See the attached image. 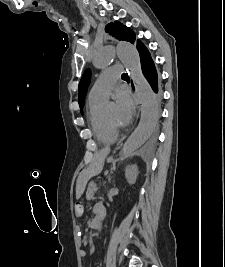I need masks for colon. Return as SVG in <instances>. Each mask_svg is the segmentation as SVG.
Segmentation results:
<instances>
[{"label":"colon","mask_w":225,"mask_h":267,"mask_svg":"<svg viewBox=\"0 0 225 267\" xmlns=\"http://www.w3.org/2000/svg\"><path fill=\"white\" fill-rule=\"evenodd\" d=\"M74 212L77 217H81L83 214V205L81 203H77L75 205Z\"/></svg>","instance_id":"5ec220e1"}]
</instances>
